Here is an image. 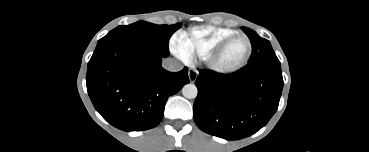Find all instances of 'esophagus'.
<instances>
[{"mask_svg":"<svg viewBox=\"0 0 369 152\" xmlns=\"http://www.w3.org/2000/svg\"><path fill=\"white\" fill-rule=\"evenodd\" d=\"M188 77L191 82H194L198 77V71L195 69H190L188 71Z\"/></svg>","mask_w":369,"mask_h":152,"instance_id":"1","label":"esophagus"}]
</instances>
